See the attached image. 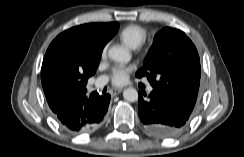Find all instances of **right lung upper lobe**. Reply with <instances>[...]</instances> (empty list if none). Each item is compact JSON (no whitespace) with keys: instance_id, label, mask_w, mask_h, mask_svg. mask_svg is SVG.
<instances>
[{"instance_id":"right-lung-upper-lobe-1","label":"right lung upper lobe","mask_w":244,"mask_h":157,"mask_svg":"<svg viewBox=\"0 0 244 157\" xmlns=\"http://www.w3.org/2000/svg\"><path fill=\"white\" fill-rule=\"evenodd\" d=\"M118 29L117 22L90 23L59 34L50 44L41 68L46 99L85 91L104 46Z\"/></svg>"}]
</instances>
